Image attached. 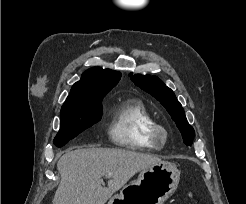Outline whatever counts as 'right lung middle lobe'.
<instances>
[{"mask_svg":"<svg viewBox=\"0 0 246 204\" xmlns=\"http://www.w3.org/2000/svg\"><path fill=\"white\" fill-rule=\"evenodd\" d=\"M103 97H92L81 103L62 106L60 130L54 138L57 147L64 146L70 139L101 120Z\"/></svg>","mask_w":246,"mask_h":204,"instance_id":"right-lung-middle-lobe-1","label":"right lung middle lobe"}]
</instances>
